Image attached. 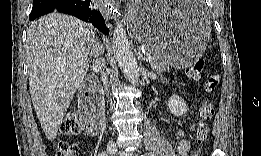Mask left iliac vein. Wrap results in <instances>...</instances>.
Wrapping results in <instances>:
<instances>
[{
    "label": "left iliac vein",
    "mask_w": 261,
    "mask_h": 156,
    "mask_svg": "<svg viewBox=\"0 0 261 156\" xmlns=\"http://www.w3.org/2000/svg\"><path fill=\"white\" fill-rule=\"evenodd\" d=\"M119 154L121 155V156H132L133 155V153L132 152H126V151H120L119 152Z\"/></svg>",
    "instance_id": "4c4485c4"
}]
</instances>
